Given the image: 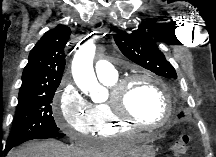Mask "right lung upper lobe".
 <instances>
[{
  "label": "right lung upper lobe",
  "mask_w": 216,
  "mask_h": 157,
  "mask_svg": "<svg viewBox=\"0 0 216 157\" xmlns=\"http://www.w3.org/2000/svg\"><path fill=\"white\" fill-rule=\"evenodd\" d=\"M70 34L69 27L59 25L36 43L23 70L19 98L33 92L57 89L65 66L64 46Z\"/></svg>",
  "instance_id": "obj_1"
}]
</instances>
